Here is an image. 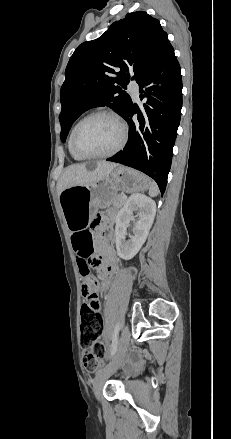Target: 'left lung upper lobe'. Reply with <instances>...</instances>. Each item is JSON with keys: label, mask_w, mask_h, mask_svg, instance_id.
<instances>
[{"label": "left lung upper lobe", "mask_w": 231, "mask_h": 439, "mask_svg": "<svg viewBox=\"0 0 231 439\" xmlns=\"http://www.w3.org/2000/svg\"><path fill=\"white\" fill-rule=\"evenodd\" d=\"M170 46L159 21L144 11L127 14L99 38L80 44L68 62L60 91L61 141L91 108L108 106L123 116L132 102L122 91L130 75L137 82Z\"/></svg>", "instance_id": "1"}]
</instances>
